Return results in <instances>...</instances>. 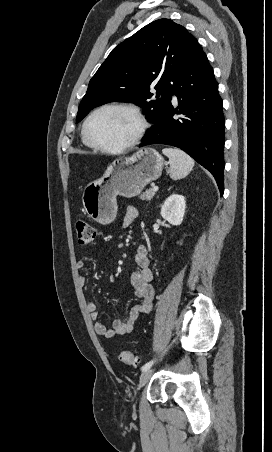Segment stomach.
Here are the masks:
<instances>
[{"instance_id": "obj_1", "label": "stomach", "mask_w": 272, "mask_h": 452, "mask_svg": "<svg viewBox=\"0 0 272 452\" xmlns=\"http://www.w3.org/2000/svg\"><path fill=\"white\" fill-rule=\"evenodd\" d=\"M164 164L163 157L153 148H143L131 156L117 158L100 179L84 188L85 212L102 225L112 223L118 211L116 197L132 198L140 194L148 183L161 176Z\"/></svg>"}]
</instances>
